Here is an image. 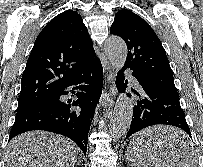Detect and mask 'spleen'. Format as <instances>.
<instances>
[{
  "instance_id": "spleen-1",
  "label": "spleen",
  "mask_w": 203,
  "mask_h": 167,
  "mask_svg": "<svg viewBox=\"0 0 203 167\" xmlns=\"http://www.w3.org/2000/svg\"><path fill=\"white\" fill-rule=\"evenodd\" d=\"M152 148L157 149L156 145H151ZM128 162L130 167H172V164L162 163L157 158L155 151L148 148H142L135 144H130ZM189 160L181 162L180 167H196L197 160L194 153L191 151L188 154Z\"/></svg>"
}]
</instances>
